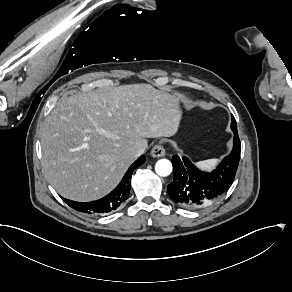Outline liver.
Wrapping results in <instances>:
<instances>
[{"label":"liver","instance_id":"obj_1","mask_svg":"<svg viewBox=\"0 0 292 292\" xmlns=\"http://www.w3.org/2000/svg\"><path fill=\"white\" fill-rule=\"evenodd\" d=\"M179 95L149 84L121 85L58 101L41 131L45 177L64 198L89 202L110 193L145 138L173 136Z\"/></svg>","mask_w":292,"mask_h":292}]
</instances>
